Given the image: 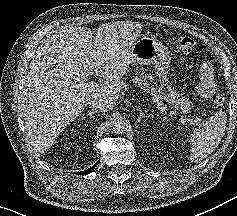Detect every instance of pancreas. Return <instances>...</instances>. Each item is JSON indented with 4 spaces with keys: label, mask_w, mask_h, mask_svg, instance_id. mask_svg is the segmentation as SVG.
Returning a JSON list of instances; mask_svg holds the SVG:
<instances>
[{
    "label": "pancreas",
    "mask_w": 237,
    "mask_h": 216,
    "mask_svg": "<svg viewBox=\"0 0 237 216\" xmlns=\"http://www.w3.org/2000/svg\"><path fill=\"white\" fill-rule=\"evenodd\" d=\"M138 85H142V80L136 81ZM154 90L153 88L151 89ZM154 97L156 99H164L167 102L172 101L175 103V107L179 110H182L184 112H187L191 109L192 104L189 100L184 99L181 95H178L177 92L172 91L170 89H165L164 87H157L154 90Z\"/></svg>",
    "instance_id": "obj_1"
}]
</instances>
